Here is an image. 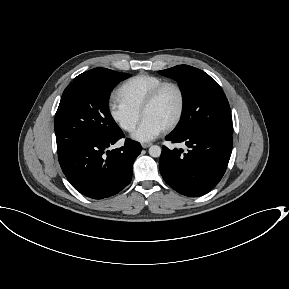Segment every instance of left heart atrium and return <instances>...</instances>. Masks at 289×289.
I'll return each instance as SVG.
<instances>
[{
	"instance_id": "39dd6f15",
	"label": "left heart atrium",
	"mask_w": 289,
	"mask_h": 289,
	"mask_svg": "<svg viewBox=\"0 0 289 289\" xmlns=\"http://www.w3.org/2000/svg\"><path fill=\"white\" fill-rule=\"evenodd\" d=\"M165 130V126L154 119L144 117L132 138L139 142H149L158 137Z\"/></svg>"
}]
</instances>
